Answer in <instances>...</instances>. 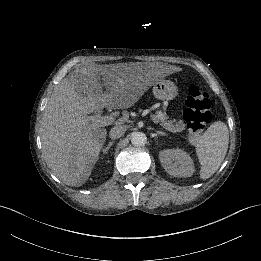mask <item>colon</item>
<instances>
[{
  "label": "colon",
  "instance_id": "1",
  "mask_svg": "<svg viewBox=\"0 0 261 261\" xmlns=\"http://www.w3.org/2000/svg\"><path fill=\"white\" fill-rule=\"evenodd\" d=\"M212 101L210 95L197 86L188 90L184 120L191 138L198 137L210 123Z\"/></svg>",
  "mask_w": 261,
  "mask_h": 261
}]
</instances>
